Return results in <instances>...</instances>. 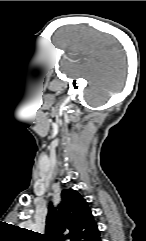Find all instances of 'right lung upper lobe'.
<instances>
[{
  "label": "right lung upper lobe",
  "mask_w": 146,
  "mask_h": 241,
  "mask_svg": "<svg viewBox=\"0 0 146 241\" xmlns=\"http://www.w3.org/2000/svg\"><path fill=\"white\" fill-rule=\"evenodd\" d=\"M58 207L49 206L42 241H99L100 233L86 200L64 189Z\"/></svg>",
  "instance_id": "right-lung-upper-lobe-1"
}]
</instances>
